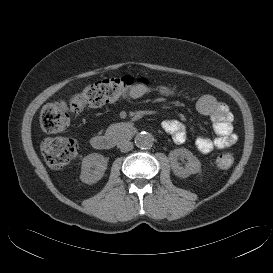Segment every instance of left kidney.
<instances>
[{"instance_id": "obj_1", "label": "left kidney", "mask_w": 273, "mask_h": 273, "mask_svg": "<svg viewBox=\"0 0 273 273\" xmlns=\"http://www.w3.org/2000/svg\"><path fill=\"white\" fill-rule=\"evenodd\" d=\"M178 158L186 159L187 164L184 167L180 166ZM169 159L173 173L182 178H186L191 174H196L201 168V163L198 158L186 148H179L171 151Z\"/></svg>"}]
</instances>
